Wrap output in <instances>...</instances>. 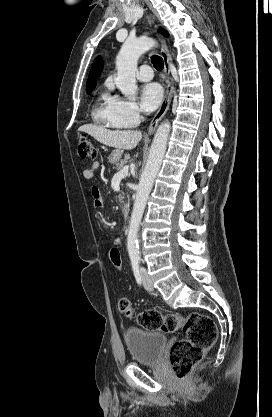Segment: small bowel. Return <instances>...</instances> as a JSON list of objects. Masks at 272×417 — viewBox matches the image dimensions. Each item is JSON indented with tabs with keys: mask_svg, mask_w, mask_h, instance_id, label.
Instances as JSON below:
<instances>
[{
	"mask_svg": "<svg viewBox=\"0 0 272 417\" xmlns=\"http://www.w3.org/2000/svg\"><path fill=\"white\" fill-rule=\"evenodd\" d=\"M100 167L99 161H94L91 166L85 168L82 172L84 179L90 180L94 177L96 171ZM91 195L93 198V205L95 208H101L103 205L102 196L98 187L94 186L91 190ZM122 243V239L120 237H115L112 240V245L120 246Z\"/></svg>",
	"mask_w": 272,
	"mask_h": 417,
	"instance_id": "obj_1",
	"label": "small bowel"
}]
</instances>
